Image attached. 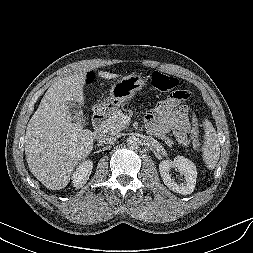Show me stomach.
Here are the masks:
<instances>
[{
    "label": "stomach",
    "instance_id": "0dacf381",
    "mask_svg": "<svg viewBox=\"0 0 253 253\" xmlns=\"http://www.w3.org/2000/svg\"><path fill=\"white\" fill-rule=\"evenodd\" d=\"M144 84V79L137 74L122 77L112 85L110 96L97 105V112L110 115L124 102L129 101Z\"/></svg>",
    "mask_w": 253,
    "mask_h": 253
}]
</instances>
